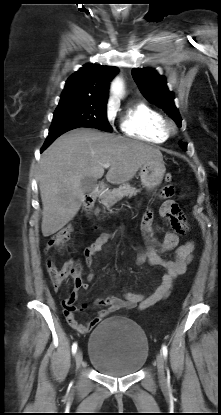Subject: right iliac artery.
<instances>
[{"label": "right iliac artery", "instance_id": "obj_1", "mask_svg": "<svg viewBox=\"0 0 221 415\" xmlns=\"http://www.w3.org/2000/svg\"><path fill=\"white\" fill-rule=\"evenodd\" d=\"M76 350H77V343H74L72 345V353L75 354L76 353Z\"/></svg>", "mask_w": 221, "mask_h": 415}]
</instances>
